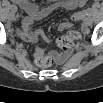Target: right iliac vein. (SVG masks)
Listing matches in <instances>:
<instances>
[{
    "label": "right iliac vein",
    "instance_id": "1",
    "mask_svg": "<svg viewBox=\"0 0 103 103\" xmlns=\"http://www.w3.org/2000/svg\"><path fill=\"white\" fill-rule=\"evenodd\" d=\"M14 18H15V15H14L13 13H10V14H9V19H10V20H14Z\"/></svg>",
    "mask_w": 103,
    "mask_h": 103
}]
</instances>
